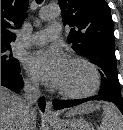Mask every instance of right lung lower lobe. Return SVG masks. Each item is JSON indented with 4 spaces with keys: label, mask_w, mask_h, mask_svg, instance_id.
Returning a JSON list of instances; mask_svg holds the SVG:
<instances>
[{
    "label": "right lung lower lobe",
    "mask_w": 123,
    "mask_h": 130,
    "mask_svg": "<svg viewBox=\"0 0 123 130\" xmlns=\"http://www.w3.org/2000/svg\"><path fill=\"white\" fill-rule=\"evenodd\" d=\"M1 85L13 91H19L23 87L24 83L20 75V72H13L6 68H1ZM38 103L40 109L44 111L45 100L41 98Z\"/></svg>",
    "instance_id": "1"
}]
</instances>
